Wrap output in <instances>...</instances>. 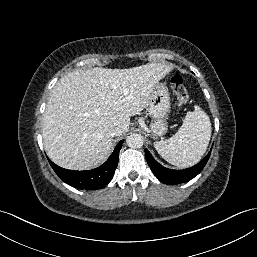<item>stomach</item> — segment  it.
I'll use <instances>...</instances> for the list:
<instances>
[{
  "label": "stomach",
  "mask_w": 257,
  "mask_h": 257,
  "mask_svg": "<svg viewBox=\"0 0 257 257\" xmlns=\"http://www.w3.org/2000/svg\"><path fill=\"white\" fill-rule=\"evenodd\" d=\"M149 116L152 118L150 124V135L160 137L167 132V118L170 112V94L163 83H157L153 88L149 100Z\"/></svg>",
  "instance_id": "0dacf381"
}]
</instances>
